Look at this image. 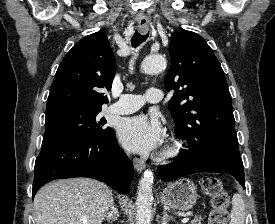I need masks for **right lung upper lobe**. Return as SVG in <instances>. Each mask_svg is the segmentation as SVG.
<instances>
[{
    "instance_id": "obj_1",
    "label": "right lung upper lobe",
    "mask_w": 275,
    "mask_h": 224,
    "mask_svg": "<svg viewBox=\"0 0 275 224\" xmlns=\"http://www.w3.org/2000/svg\"><path fill=\"white\" fill-rule=\"evenodd\" d=\"M115 58L107 36L99 31L78 41L59 65L46 113L67 108L101 109L108 103L102 88L111 89Z\"/></svg>"
}]
</instances>
